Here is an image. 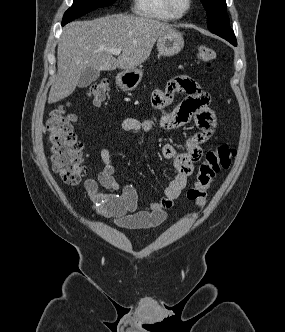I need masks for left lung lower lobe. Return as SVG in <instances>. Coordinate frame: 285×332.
Masks as SVG:
<instances>
[{"label":"left lung lower lobe","instance_id":"left-lung-lower-lobe-1","mask_svg":"<svg viewBox=\"0 0 285 332\" xmlns=\"http://www.w3.org/2000/svg\"><path fill=\"white\" fill-rule=\"evenodd\" d=\"M226 40H228L231 44L235 46L237 45L236 39H226Z\"/></svg>","mask_w":285,"mask_h":332}]
</instances>
